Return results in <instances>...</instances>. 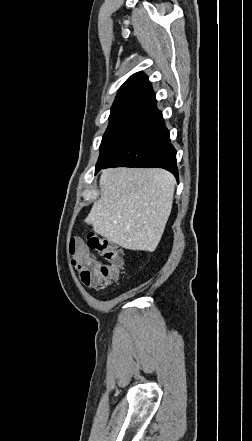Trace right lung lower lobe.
Masks as SVG:
<instances>
[{"label": "right lung lower lobe", "instance_id": "98d812e1", "mask_svg": "<svg viewBox=\"0 0 252 441\" xmlns=\"http://www.w3.org/2000/svg\"><path fill=\"white\" fill-rule=\"evenodd\" d=\"M164 168L178 179L176 150L171 145L169 131L153 97L130 134L105 163L96 166L95 173L107 167Z\"/></svg>", "mask_w": 252, "mask_h": 441}]
</instances>
